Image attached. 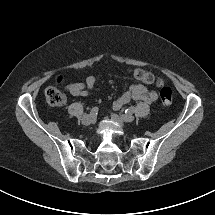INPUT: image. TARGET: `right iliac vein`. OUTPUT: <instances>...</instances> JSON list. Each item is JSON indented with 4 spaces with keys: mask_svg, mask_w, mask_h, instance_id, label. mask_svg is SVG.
<instances>
[{
    "mask_svg": "<svg viewBox=\"0 0 215 215\" xmlns=\"http://www.w3.org/2000/svg\"><path fill=\"white\" fill-rule=\"evenodd\" d=\"M93 120H94V115L86 114L82 118V123L84 125H90L93 122Z\"/></svg>",
    "mask_w": 215,
    "mask_h": 215,
    "instance_id": "1",
    "label": "right iliac vein"
}]
</instances>
